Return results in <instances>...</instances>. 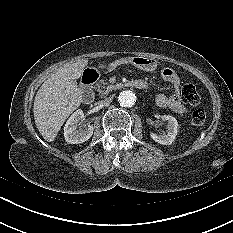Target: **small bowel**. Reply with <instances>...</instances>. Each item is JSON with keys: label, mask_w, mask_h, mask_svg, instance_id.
<instances>
[{"label": "small bowel", "mask_w": 233, "mask_h": 233, "mask_svg": "<svg viewBox=\"0 0 233 233\" xmlns=\"http://www.w3.org/2000/svg\"><path fill=\"white\" fill-rule=\"evenodd\" d=\"M162 78L172 85L173 94L170 96L158 94L156 96V104L161 108L169 109L177 114H185L187 108L182 102L179 76L172 69L165 68L162 70Z\"/></svg>", "instance_id": "small-bowel-1"}]
</instances>
